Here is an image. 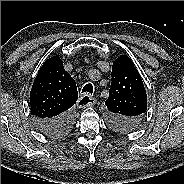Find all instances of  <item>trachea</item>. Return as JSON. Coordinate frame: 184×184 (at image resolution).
I'll return each instance as SVG.
<instances>
[{"label": "trachea", "mask_w": 184, "mask_h": 184, "mask_svg": "<svg viewBox=\"0 0 184 184\" xmlns=\"http://www.w3.org/2000/svg\"><path fill=\"white\" fill-rule=\"evenodd\" d=\"M84 92H88V93L92 94L93 93L92 84H90V83L86 84L82 89V93H84Z\"/></svg>", "instance_id": "3493384b"}]
</instances>
